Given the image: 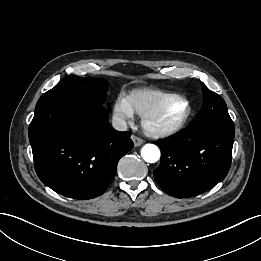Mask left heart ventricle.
<instances>
[{"label": "left heart ventricle", "mask_w": 261, "mask_h": 261, "mask_svg": "<svg viewBox=\"0 0 261 261\" xmlns=\"http://www.w3.org/2000/svg\"><path fill=\"white\" fill-rule=\"evenodd\" d=\"M186 106L183 102H171L160 115L157 123L160 125H169L177 121L185 112Z\"/></svg>", "instance_id": "1"}]
</instances>
